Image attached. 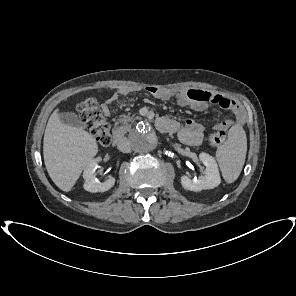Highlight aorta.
Wrapping results in <instances>:
<instances>
[{"label":"aorta","instance_id":"762f6f07","mask_svg":"<svg viewBox=\"0 0 296 296\" xmlns=\"http://www.w3.org/2000/svg\"><path fill=\"white\" fill-rule=\"evenodd\" d=\"M129 141L132 149L146 154L157 148L159 135L148 123H139L130 133Z\"/></svg>","mask_w":296,"mask_h":296}]
</instances>
